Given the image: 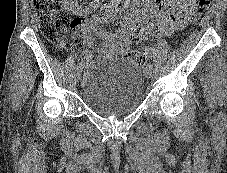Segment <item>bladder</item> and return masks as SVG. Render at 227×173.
<instances>
[{
	"mask_svg": "<svg viewBox=\"0 0 227 173\" xmlns=\"http://www.w3.org/2000/svg\"><path fill=\"white\" fill-rule=\"evenodd\" d=\"M144 97L140 68L127 59H109L85 77L81 98L95 114L122 117L134 112Z\"/></svg>",
	"mask_w": 227,
	"mask_h": 173,
	"instance_id": "obj_1",
	"label": "bladder"
}]
</instances>
